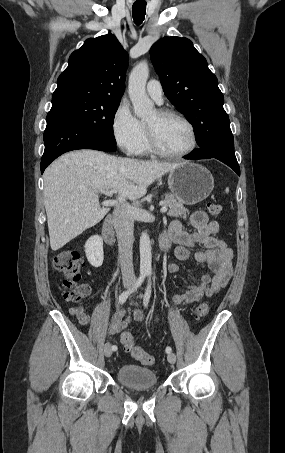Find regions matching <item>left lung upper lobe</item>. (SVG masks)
<instances>
[{
	"mask_svg": "<svg viewBox=\"0 0 285 453\" xmlns=\"http://www.w3.org/2000/svg\"><path fill=\"white\" fill-rule=\"evenodd\" d=\"M150 55L166 97L193 125L198 146L233 140L218 80L193 43L164 37L153 44Z\"/></svg>",
	"mask_w": 285,
	"mask_h": 453,
	"instance_id": "1",
	"label": "left lung upper lobe"
}]
</instances>
